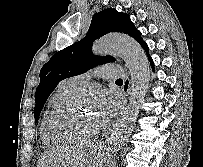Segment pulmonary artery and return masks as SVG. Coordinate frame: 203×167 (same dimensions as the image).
Instances as JSON below:
<instances>
[{"label":"pulmonary artery","mask_w":203,"mask_h":167,"mask_svg":"<svg viewBox=\"0 0 203 167\" xmlns=\"http://www.w3.org/2000/svg\"><path fill=\"white\" fill-rule=\"evenodd\" d=\"M94 74H97L99 76H102L104 78H116L122 75V69L120 66L113 65V64H107L100 66L94 70ZM92 73L77 75L74 77H71L65 81L66 84L77 87L78 85H81L82 83L89 80Z\"/></svg>","instance_id":"pulmonary-artery-1"}]
</instances>
